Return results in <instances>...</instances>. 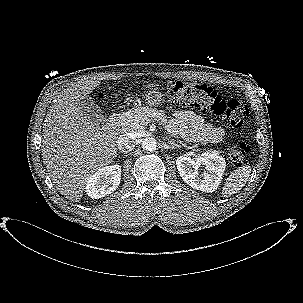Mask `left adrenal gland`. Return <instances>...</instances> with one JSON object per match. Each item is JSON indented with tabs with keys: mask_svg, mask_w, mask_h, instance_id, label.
I'll list each match as a JSON object with an SVG mask.
<instances>
[{
	"mask_svg": "<svg viewBox=\"0 0 303 303\" xmlns=\"http://www.w3.org/2000/svg\"><path fill=\"white\" fill-rule=\"evenodd\" d=\"M168 144L173 145V146H176V147H180L178 144L174 143V142L171 141V140H168Z\"/></svg>",
	"mask_w": 303,
	"mask_h": 303,
	"instance_id": "left-adrenal-gland-1",
	"label": "left adrenal gland"
}]
</instances>
